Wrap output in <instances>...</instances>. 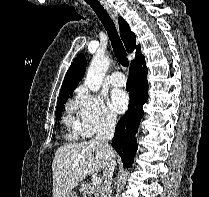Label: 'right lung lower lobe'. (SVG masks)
<instances>
[{"label": "right lung lower lobe", "mask_w": 209, "mask_h": 197, "mask_svg": "<svg viewBox=\"0 0 209 197\" xmlns=\"http://www.w3.org/2000/svg\"><path fill=\"white\" fill-rule=\"evenodd\" d=\"M147 72L144 57L131 64L126 84L130 96L129 108L117 123L112 140V146L126 168L132 166L137 150L135 134L143 115L142 106L148 99Z\"/></svg>", "instance_id": "98d812e1"}]
</instances>
